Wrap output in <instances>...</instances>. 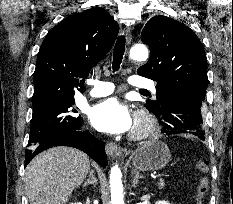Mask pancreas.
I'll use <instances>...</instances> for the list:
<instances>
[{"label":"pancreas","mask_w":233,"mask_h":204,"mask_svg":"<svg viewBox=\"0 0 233 204\" xmlns=\"http://www.w3.org/2000/svg\"><path fill=\"white\" fill-rule=\"evenodd\" d=\"M158 185H159V188H163L164 187V181L160 180L159 183H158Z\"/></svg>","instance_id":"1"}]
</instances>
